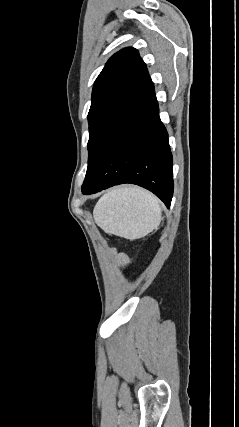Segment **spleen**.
Returning a JSON list of instances; mask_svg holds the SVG:
<instances>
[{"mask_svg":"<svg viewBox=\"0 0 239 427\" xmlns=\"http://www.w3.org/2000/svg\"><path fill=\"white\" fill-rule=\"evenodd\" d=\"M93 216L105 232L135 240L159 226L162 212L158 198L151 192L124 186L104 194L95 205Z\"/></svg>","mask_w":239,"mask_h":427,"instance_id":"3e777b00","label":"spleen"}]
</instances>
